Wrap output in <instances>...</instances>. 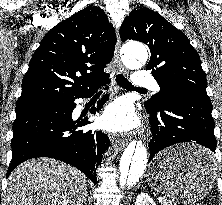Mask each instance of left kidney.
<instances>
[{
	"label": "left kidney",
	"mask_w": 222,
	"mask_h": 205,
	"mask_svg": "<svg viewBox=\"0 0 222 205\" xmlns=\"http://www.w3.org/2000/svg\"><path fill=\"white\" fill-rule=\"evenodd\" d=\"M135 205H156V203L148 194L140 193L136 198Z\"/></svg>",
	"instance_id": "left-kidney-1"
}]
</instances>
